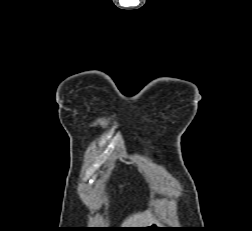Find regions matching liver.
Segmentation results:
<instances>
[{
    "label": "liver",
    "instance_id": "6515ba94",
    "mask_svg": "<svg viewBox=\"0 0 252 231\" xmlns=\"http://www.w3.org/2000/svg\"><path fill=\"white\" fill-rule=\"evenodd\" d=\"M153 221V216L147 211L130 216L123 222L122 226L124 228H143L150 225Z\"/></svg>",
    "mask_w": 252,
    "mask_h": 231
}]
</instances>
